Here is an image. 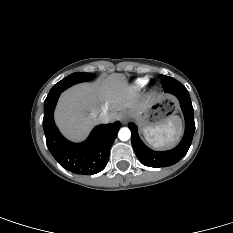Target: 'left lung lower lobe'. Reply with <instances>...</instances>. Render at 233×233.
Returning <instances> with one entry per match:
<instances>
[{"label":"left lung lower lobe","instance_id":"left-lung-lower-lobe-1","mask_svg":"<svg viewBox=\"0 0 233 233\" xmlns=\"http://www.w3.org/2000/svg\"><path fill=\"white\" fill-rule=\"evenodd\" d=\"M164 90L165 92L175 95L180 101L181 109L185 117V134L182 141L174 149L157 152L149 149L141 141L138 136L136 124L130 122L128 127L132 133V146L139 161L148 167H166L180 161L188 152L195 131L194 111L187 89L180 82L175 81L172 85L164 87Z\"/></svg>","mask_w":233,"mask_h":233}]
</instances>
